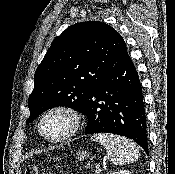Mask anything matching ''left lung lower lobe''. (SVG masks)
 <instances>
[{
    "mask_svg": "<svg viewBox=\"0 0 175 174\" xmlns=\"http://www.w3.org/2000/svg\"><path fill=\"white\" fill-rule=\"evenodd\" d=\"M82 112L88 117L85 134L125 136L149 154L142 87L127 48L111 71L89 92Z\"/></svg>",
    "mask_w": 175,
    "mask_h": 174,
    "instance_id": "obj_1",
    "label": "left lung lower lobe"
}]
</instances>
